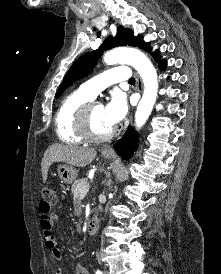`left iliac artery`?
Returning <instances> with one entry per match:
<instances>
[{
	"mask_svg": "<svg viewBox=\"0 0 221 274\" xmlns=\"http://www.w3.org/2000/svg\"><path fill=\"white\" fill-rule=\"evenodd\" d=\"M96 274H103V273H102V271L97 270V271H96Z\"/></svg>",
	"mask_w": 221,
	"mask_h": 274,
	"instance_id": "left-iliac-artery-1",
	"label": "left iliac artery"
}]
</instances>
